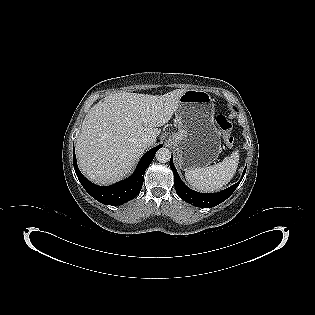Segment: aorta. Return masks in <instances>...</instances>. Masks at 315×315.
<instances>
[{
    "instance_id": "1",
    "label": "aorta",
    "mask_w": 315,
    "mask_h": 315,
    "mask_svg": "<svg viewBox=\"0 0 315 315\" xmlns=\"http://www.w3.org/2000/svg\"><path fill=\"white\" fill-rule=\"evenodd\" d=\"M171 158V152L169 151L168 148H160L157 153H156V159L160 163H166L170 160Z\"/></svg>"
}]
</instances>
